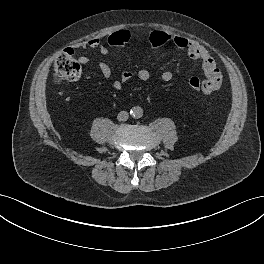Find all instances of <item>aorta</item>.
Listing matches in <instances>:
<instances>
[{
  "mask_svg": "<svg viewBox=\"0 0 264 264\" xmlns=\"http://www.w3.org/2000/svg\"><path fill=\"white\" fill-rule=\"evenodd\" d=\"M130 114L133 118H136V119L141 118L143 115V109L139 106L133 107L130 110Z\"/></svg>",
  "mask_w": 264,
  "mask_h": 264,
  "instance_id": "1",
  "label": "aorta"
}]
</instances>
